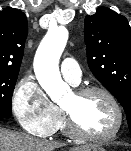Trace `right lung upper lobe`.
<instances>
[{"instance_id":"1","label":"right lung upper lobe","mask_w":131,"mask_h":151,"mask_svg":"<svg viewBox=\"0 0 131 151\" xmlns=\"http://www.w3.org/2000/svg\"><path fill=\"white\" fill-rule=\"evenodd\" d=\"M27 33L22 11L7 8L0 12V71L19 72Z\"/></svg>"}]
</instances>
